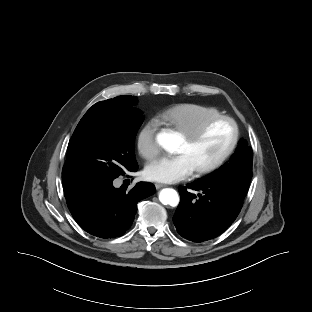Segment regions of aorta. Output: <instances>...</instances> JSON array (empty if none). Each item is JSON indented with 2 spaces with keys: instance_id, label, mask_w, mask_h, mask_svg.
Masks as SVG:
<instances>
[{
  "instance_id": "1",
  "label": "aorta",
  "mask_w": 312,
  "mask_h": 312,
  "mask_svg": "<svg viewBox=\"0 0 312 312\" xmlns=\"http://www.w3.org/2000/svg\"><path fill=\"white\" fill-rule=\"evenodd\" d=\"M157 143L166 150L173 149L175 143L170 132L162 131L156 136ZM159 200L164 205L175 207L179 204V195L176 190L171 188L162 189L159 193Z\"/></svg>"
}]
</instances>
